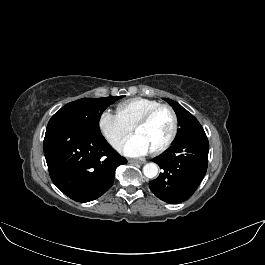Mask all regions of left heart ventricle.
Here are the masks:
<instances>
[{"label":"left heart ventricle","mask_w":265,"mask_h":265,"mask_svg":"<svg viewBox=\"0 0 265 265\" xmlns=\"http://www.w3.org/2000/svg\"><path fill=\"white\" fill-rule=\"evenodd\" d=\"M171 129L172 117L168 111L162 110L155 114L148 123L138 127L136 134L145 140L151 150H154L164 143Z\"/></svg>","instance_id":"b2bd125f"}]
</instances>
